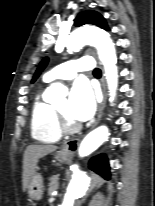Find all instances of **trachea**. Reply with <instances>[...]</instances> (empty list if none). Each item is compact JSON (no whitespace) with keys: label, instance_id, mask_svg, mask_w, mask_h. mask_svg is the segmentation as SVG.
Segmentation results:
<instances>
[{"label":"trachea","instance_id":"trachea-1","mask_svg":"<svg viewBox=\"0 0 155 206\" xmlns=\"http://www.w3.org/2000/svg\"><path fill=\"white\" fill-rule=\"evenodd\" d=\"M93 74L96 76H100L101 75V70L99 68L94 69Z\"/></svg>","mask_w":155,"mask_h":206}]
</instances>
